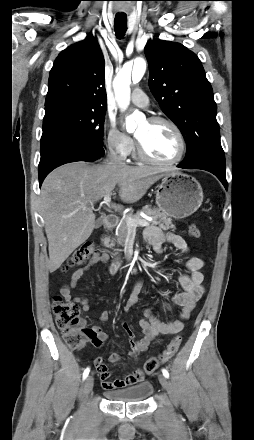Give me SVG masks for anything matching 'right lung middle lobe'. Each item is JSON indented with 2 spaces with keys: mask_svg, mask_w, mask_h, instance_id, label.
Listing matches in <instances>:
<instances>
[{
  "mask_svg": "<svg viewBox=\"0 0 254 440\" xmlns=\"http://www.w3.org/2000/svg\"><path fill=\"white\" fill-rule=\"evenodd\" d=\"M106 110L73 104L45 109L38 175L76 157H101Z\"/></svg>",
  "mask_w": 254,
  "mask_h": 440,
  "instance_id": "1",
  "label": "right lung middle lobe"
}]
</instances>
